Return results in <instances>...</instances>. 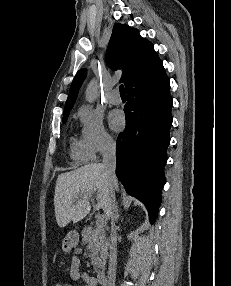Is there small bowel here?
<instances>
[{
  "instance_id": "small-bowel-1",
  "label": "small bowel",
  "mask_w": 231,
  "mask_h": 286,
  "mask_svg": "<svg viewBox=\"0 0 231 286\" xmlns=\"http://www.w3.org/2000/svg\"><path fill=\"white\" fill-rule=\"evenodd\" d=\"M69 274L72 280H83L86 286H95L94 278L81 271V262L78 257L72 258Z\"/></svg>"
}]
</instances>
